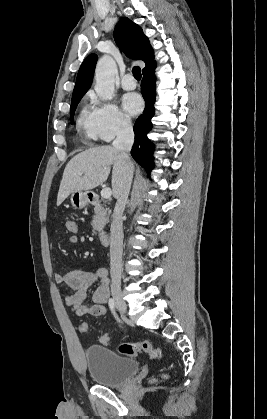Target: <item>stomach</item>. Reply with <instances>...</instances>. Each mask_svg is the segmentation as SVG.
I'll return each mask as SVG.
<instances>
[{
	"label": "stomach",
	"mask_w": 267,
	"mask_h": 419,
	"mask_svg": "<svg viewBox=\"0 0 267 419\" xmlns=\"http://www.w3.org/2000/svg\"><path fill=\"white\" fill-rule=\"evenodd\" d=\"M70 200L75 209H82L89 202V192L75 191L71 194Z\"/></svg>",
	"instance_id": "obj_1"
}]
</instances>
